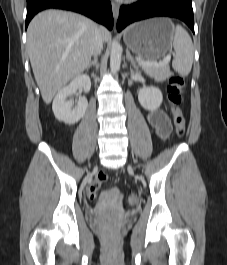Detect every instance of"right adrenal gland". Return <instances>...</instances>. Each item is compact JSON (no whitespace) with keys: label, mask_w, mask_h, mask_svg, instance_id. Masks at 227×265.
I'll list each match as a JSON object with an SVG mask.
<instances>
[{"label":"right adrenal gland","mask_w":227,"mask_h":265,"mask_svg":"<svg viewBox=\"0 0 227 265\" xmlns=\"http://www.w3.org/2000/svg\"><path fill=\"white\" fill-rule=\"evenodd\" d=\"M97 61H98V58L96 56V57H94L93 61H91L89 63V65L87 66L86 70L88 71V69L91 68L92 66H96L97 65Z\"/></svg>","instance_id":"right-adrenal-gland-1"}]
</instances>
